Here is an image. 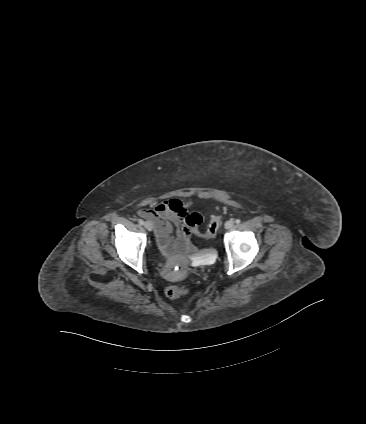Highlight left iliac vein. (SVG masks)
I'll return each instance as SVG.
<instances>
[{"label": "left iliac vein", "instance_id": "4c4485c4", "mask_svg": "<svg viewBox=\"0 0 366 424\" xmlns=\"http://www.w3.org/2000/svg\"><path fill=\"white\" fill-rule=\"evenodd\" d=\"M233 225H234V222L232 220H228V221L225 222L224 226H225L226 229H231L233 227Z\"/></svg>", "mask_w": 366, "mask_h": 424}]
</instances>
